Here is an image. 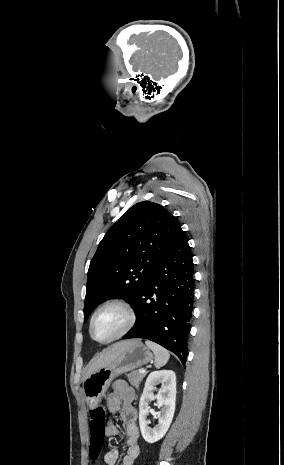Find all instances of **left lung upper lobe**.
Masks as SVG:
<instances>
[{"instance_id": "left-lung-upper-lobe-1", "label": "left lung upper lobe", "mask_w": 284, "mask_h": 465, "mask_svg": "<svg viewBox=\"0 0 284 465\" xmlns=\"http://www.w3.org/2000/svg\"><path fill=\"white\" fill-rule=\"evenodd\" d=\"M181 227L159 204H135L108 230L87 274L84 320L103 300L135 303L156 264L173 246Z\"/></svg>"}]
</instances>
